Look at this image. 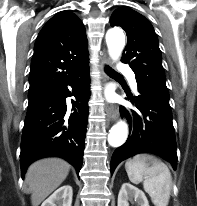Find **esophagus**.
<instances>
[{
  "label": "esophagus",
  "instance_id": "34e87169",
  "mask_svg": "<svg viewBox=\"0 0 197 206\" xmlns=\"http://www.w3.org/2000/svg\"><path fill=\"white\" fill-rule=\"evenodd\" d=\"M111 63L110 59L108 58L107 54L104 53L101 62H100V70L103 75V83L106 84L107 82V75L105 73V67ZM107 118L110 121H116L118 119V110L116 106L110 105L106 108Z\"/></svg>",
  "mask_w": 197,
  "mask_h": 206
}]
</instances>
